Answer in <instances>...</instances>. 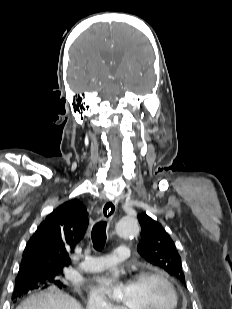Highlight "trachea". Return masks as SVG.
I'll use <instances>...</instances> for the list:
<instances>
[{
  "instance_id": "obj_1",
  "label": "trachea",
  "mask_w": 232,
  "mask_h": 309,
  "mask_svg": "<svg viewBox=\"0 0 232 309\" xmlns=\"http://www.w3.org/2000/svg\"><path fill=\"white\" fill-rule=\"evenodd\" d=\"M106 221H99L92 229L91 238L95 250L101 251L106 242Z\"/></svg>"
}]
</instances>
